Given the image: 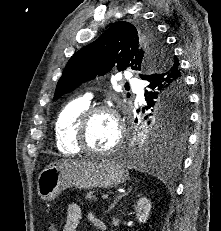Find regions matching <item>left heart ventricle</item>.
Listing matches in <instances>:
<instances>
[{"label": "left heart ventricle", "mask_w": 221, "mask_h": 231, "mask_svg": "<svg viewBox=\"0 0 221 231\" xmlns=\"http://www.w3.org/2000/svg\"><path fill=\"white\" fill-rule=\"evenodd\" d=\"M118 130L114 119L107 113L95 115L87 130L88 146L93 150H107L117 140Z\"/></svg>", "instance_id": "obj_1"}]
</instances>
